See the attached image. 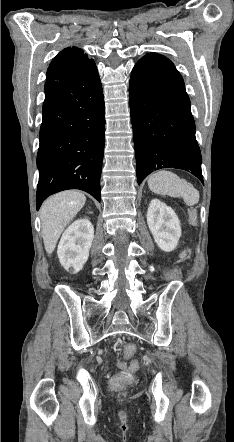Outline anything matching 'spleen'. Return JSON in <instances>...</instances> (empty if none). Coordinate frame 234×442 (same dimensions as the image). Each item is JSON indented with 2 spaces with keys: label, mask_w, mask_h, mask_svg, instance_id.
Wrapping results in <instances>:
<instances>
[{
  "label": "spleen",
  "mask_w": 234,
  "mask_h": 442,
  "mask_svg": "<svg viewBox=\"0 0 234 442\" xmlns=\"http://www.w3.org/2000/svg\"><path fill=\"white\" fill-rule=\"evenodd\" d=\"M149 189L159 195L181 197L188 206L199 201V191L191 183L168 170H159L148 178Z\"/></svg>",
  "instance_id": "spleen-1"
}]
</instances>
